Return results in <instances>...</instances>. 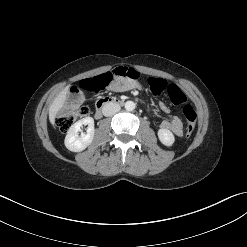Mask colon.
<instances>
[{"mask_svg": "<svg viewBox=\"0 0 247 247\" xmlns=\"http://www.w3.org/2000/svg\"><path fill=\"white\" fill-rule=\"evenodd\" d=\"M118 77H129L137 80L139 74L133 69L119 67L114 70H106L104 73H99L95 76H89L85 82L81 83V87L90 91L96 89L97 87L113 84ZM148 85L154 95L166 93L172 104L183 105L182 112L187 122L186 135L190 136L195 128L197 115L193 106L187 103V97L182 90L174 84H168L162 79L153 77L148 79ZM78 92L79 88H75L74 93L76 94ZM72 100L73 103L69 105L66 108V111L56 120L57 127L62 132L68 131L78 119L89 114V108L87 106H79L76 103V95L72 96Z\"/></svg>", "mask_w": 247, "mask_h": 247, "instance_id": "obj_1", "label": "colon"}]
</instances>
